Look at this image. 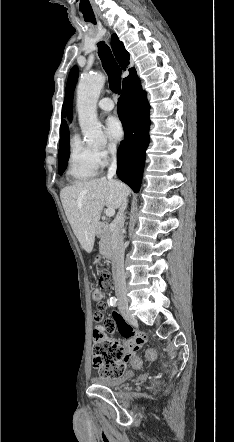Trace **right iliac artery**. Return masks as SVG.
Here are the masks:
<instances>
[{"label": "right iliac artery", "mask_w": 234, "mask_h": 442, "mask_svg": "<svg viewBox=\"0 0 234 442\" xmlns=\"http://www.w3.org/2000/svg\"><path fill=\"white\" fill-rule=\"evenodd\" d=\"M117 304H118L117 298L111 297L110 298V305L113 306V307H116Z\"/></svg>", "instance_id": "right-iliac-artery-1"}]
</instances>
